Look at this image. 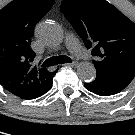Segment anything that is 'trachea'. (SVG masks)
<instances>
[{"mask_svg": "<svg viewBox=\"0 0 135 135\" xmlns=\"http://www.w3.org/2000/svg\"><path fill=\"white\" fill-rule=\"evenodd\" d=\"M64 63H71V59L67 56H54L49 59H47L42 66L43 67H49L53 65H58V64H64Z\"/></svg>", "mask_w": 135, "mask_h": 135, "instance_id": "obj_1", "label": "trachea"}]
</instances>
